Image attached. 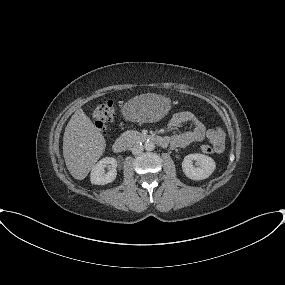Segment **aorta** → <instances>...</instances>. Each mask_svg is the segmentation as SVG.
<instances>
[{
	"mask_svg": "<svg viewBox=\"0 0 285 285\" xmlns=\"http://www.w3.org/2000/svg\"><path fill=\"white\" fill-rule=\"evenodd\" d=\"M144 148L146 151H153L155 148V144L154 142L148 140L144 143Z\"/></svg>",
	"mask_w": 285,
	"mask_h": 285,
	"instance_id": "aorta-1",
	"label": "aorta"
}]
</instances>
